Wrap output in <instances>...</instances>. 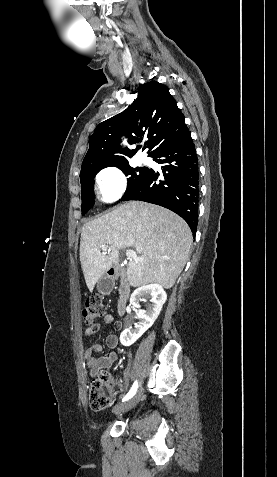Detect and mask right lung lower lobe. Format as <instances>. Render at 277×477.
Instances as JSON below:
<instances>
[{"label": "right lung lower lobe", "instance_id": "98d812e1", "mask_svg": "<svg viewBox=\"0 0 277 477\" xmlns=\"http://www.w3.org/2000/svg\"><path fill=\"white\" fill-rule=\"evenodd\" d=\"M161 164L162 175L149 169L143 181L122 200H141L172 210L191 228L198 224L199 171L194 143L187 129L177 140L152 156Z\"/></svg>", "mask_w": 277, "mask_h": 477}]
</instances>
